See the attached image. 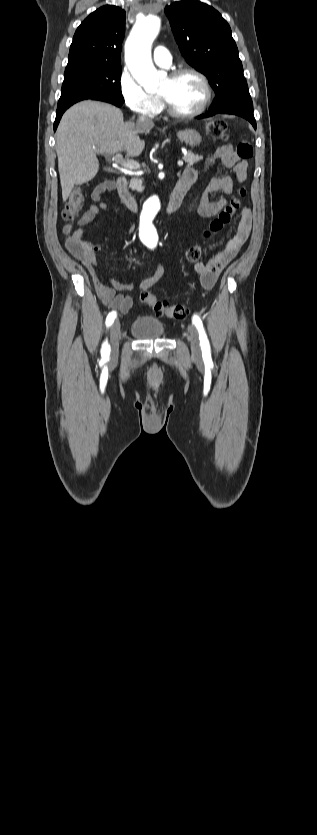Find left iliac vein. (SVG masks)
Returning <instances> with one entry per match:
<instances>
[{
	"mask_svg": "<svg viewBox=\"0 0 317 835\" xmlns=\"http://www.w3.org/2000/svg\"><path fill=\"white\" fill-rule=\"evenodd\" d=\"M188 332H189V340H190V344H191L192 354L195 357H199L200 354H201V350H200V346H199V337H198L197 330L195 329L194 326L189 325L188 326Z\"/></svg>",
	"mask_w": 317,
	"mask_h": 835,
	"instance_id": "obj_1",
	"label": "left iliac vein"
}]
</instances>
